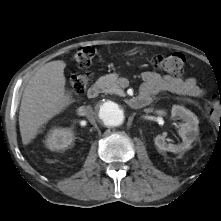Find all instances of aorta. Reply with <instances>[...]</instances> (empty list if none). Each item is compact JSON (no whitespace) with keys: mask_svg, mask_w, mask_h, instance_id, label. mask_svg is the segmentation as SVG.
I'll return each mask as SVG.
<instances>
[{"mask_svg":"<svg viewBox=\"0 0 221 221\" xmlns=\"http://www.w3.org/2000/svg\"><path fill=\"white\" fill-rule=\"evenodd\" d=\"M97 118L105 126H120L125 120L123 106L115 101L106 100L97 109Z\"/></svg>","mask_w":221,"mask_h":221,"instance_id":"762f6f07","label":"aorta"}]
</instances>
